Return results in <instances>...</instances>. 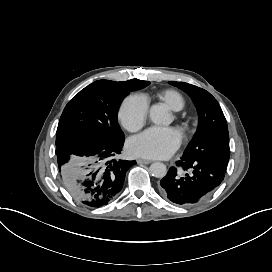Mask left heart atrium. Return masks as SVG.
<instances>
[{"instance_id":"obj_1","label":"left heart atrium","mask_w":272,"mask_h":272,"mask_svg":"<svg viewBox=\"0 0 272 272\" xmlns=\"http://www.w3.org/2000/svg\"><path fill=\"white\" fill-rule=\"evenodd\" d=\"M179 135L172 129L151 127L130 142L128 150L133 155L167 158L179 146Z\"/></svg>"}]
</instances>
